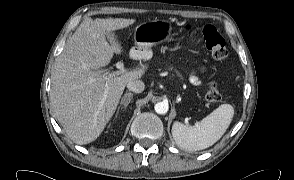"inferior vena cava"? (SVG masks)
Masks as SVG:
<instances>
[{"mask_svg":"<svg viewBox=\"0 0 294 180\" xmlns=\"http://www.w3.org/2000/svg\"><path fill=\"white\" fill-rule=\"evenodd\" d=\"M127 88L129 91L141 93L145 89V84L141 80H131L127 83Z\"/></svg>","mask_w":294,"mask_h":180,"instance_id":"1","label":"inferior vena cava"}]
</instances>
